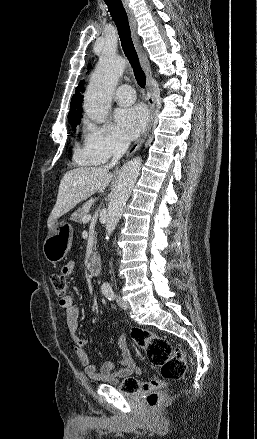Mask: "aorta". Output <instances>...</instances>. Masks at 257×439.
Listing matches in <instances>:
<instances>
[{"instance_id":"aorta-1","label":"aorta","mask_w":257,"mask_h":439,"mask_svg":"<svg viewBox=\"0 0 257 439\" xmlns=\"http://www.w3.org/2000/svg\"><path fill=\"white\" fill-rule=\"evenodd\" d=\"M125 67L126 62L121 57L109 53H104L101 56L98 66L91 76L84 102L85 113L95 122H105L114 89ZM140 167L141 159L137 157L121 168L108 202L105 225V239L107 241L121 219L124 206L139 176Z\"/></svg>"}]
</instances>
